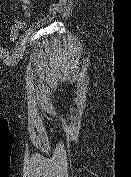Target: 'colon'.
I'll return each instance as SVG.
<instances>
[{
  "instance_id": "1",
  "label": "colon",
  "mask_w": 131,
  "mask_h": 177,
  "mask_svg": "<svg viewBox=\"0 0 131 177\" xmlns=\"http://www.w3.org/2000/svg\"><path fill=\"white\" fill-rule=\"evenodd\" d=\"M21 5L20 14L13 18L8 29V38L10 41H14L25 27L27 19L30 15L29 12V0H19Z\"/></svg>"
}]
</instances>
